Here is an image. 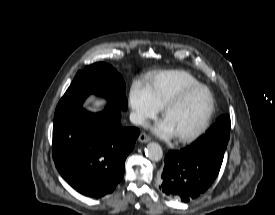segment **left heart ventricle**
Here are the masks:
<instances>
[{
	"label": "left heart ventricle",
	"mask_w": 275,
	"mask_h": 215,
	"mask_svg": "<svg viewBox=\"0 0 275 215\" xmlns=\"http://www.w3.org/2000/svg\"><path fill=\"white\" fill-rule=\"evenodd\" d=\"M210 107V96L205 89L189 93L165 116L174 135L187 134L196 129L203 121Z\"/></svg>",
	"instance_id": "left-heart-ventricle-1"
}]
</instances>
